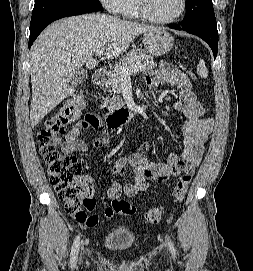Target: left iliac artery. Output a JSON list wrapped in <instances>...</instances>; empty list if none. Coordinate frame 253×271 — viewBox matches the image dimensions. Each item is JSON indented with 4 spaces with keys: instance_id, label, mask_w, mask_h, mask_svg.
I'll list each match as a JSON object with an SVG mask.
<instances>
[{
    "instance_id": "44dca946",
    "label": "left iliac artery",
    "mask_w": 253,
    "mask_h": 271,
    "mask_svg": "<svg viewBox=\"0 0 253 271\" xmlns=\"http://www.w3.org/2000/svg\"><path fill=\"white\" fill-rule=\"evenodd\" d=\"M167 241H168L169 249H170V251H171L173 257H175V255H176V250H175V248H174V245H173V243L171 242V240H170L169 238H167Z\"/></svg>"
}]
</instances>
